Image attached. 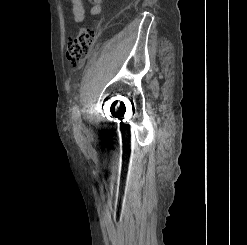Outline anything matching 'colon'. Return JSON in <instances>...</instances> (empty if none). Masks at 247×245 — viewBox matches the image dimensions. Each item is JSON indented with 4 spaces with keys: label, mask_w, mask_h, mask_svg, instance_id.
Instances as JSON below:
<instances>
[{
    "label": "colon",
    "mask_w": 247,
    "mask_h": 245,
    "mask_svg": "<svg viewBox=\"0 0 247 245\" xmlns=\"http://www.w3.org/2000/svg\"><path fill=\"white\" fill-rule=\"evenodd\" d=\"M95 40V31L90 27H83L75 35L68 36L66 58L68 62L77 66L89 53Z\"/></svg>",
    "instance_id": "1"
}]
</instances>
